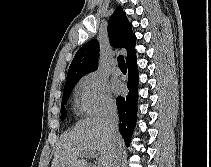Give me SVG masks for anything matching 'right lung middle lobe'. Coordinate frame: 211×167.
Listing matches in <instances>:
<instances>
[{"mask_svg": "<svg viewBox=\"0 0 211 167\" xmlns=\"http://www.w3.org/2000/svg\"><path fill=\"white\" fill-rule=\"evenodd\" d=\"M78 80L79 79L71 80V81L65 83V87H64V91H63V98H62L63 105L61 106V120H64L67 116L64 104H66L67 99L69 98V95H70L72 89L74 88V86L76 85V83L78 82Z\"/></svg>", "mask_w": 211, "mask_h": 167, "instance_id": "1", "label": "right lung middle lobe"}]
</instances>
